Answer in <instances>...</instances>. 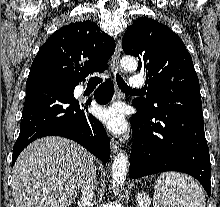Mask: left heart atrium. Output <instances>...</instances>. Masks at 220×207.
Wrapping results in <instances>:
<instances>
[{
	"label": "left heart atrium",
	"mask_w": 220,
	"mask_h": 207,
	"mask_svg": "<svg viewBox=\"0 0 220 207\" xmlns=\"http://www.w3.org/2000/svg\"><path fill=\"white\" fill-rule=\"evenodd\" d=\"M98 117L115 134H122L126 130L124 110L119 105L101 109Z\"/></svg>",
	"instance_id": "39dd6f15"
}]
</instances>
